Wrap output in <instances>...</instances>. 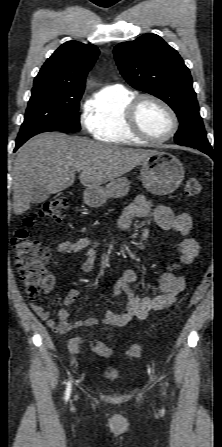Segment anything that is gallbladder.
I'll use <instances>...</instances> for the list:
<instances>
[{"mask_svg": "<svg viewBox=\"0 0 222 447\" xmlns=\"http://www.w3.org/2000/svg\"><path fill=\"white\" fill-rule=\"evenodd\" d=\"M50 197V193L47 192L44 188H37L33 192V198L31 203L40 204L46 201Z\"/></svg>", "mask_w": 222, "mask_h": 447, "instance_id": "1", "label": "gallbladder"}]
</instances>
